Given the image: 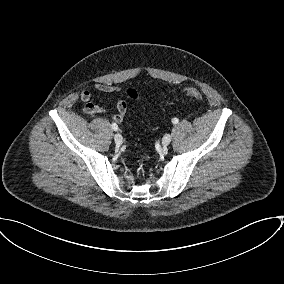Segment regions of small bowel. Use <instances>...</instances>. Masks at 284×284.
Wrapping results in <instances>:
<instances>
[{
	"mask_svg": "<svg viewBox=\"0 0 284 284\" xmlns=\"http://www.w3.org/2000/svg\"><path fill=\"white\" fill-rule=\"evenodd\" d=\"M95 89L100 92L104 93H119L121 92V89L116 86H112L109 84H102L98 83L95 84ZM81 100L85 103L83 107V111L85 114L88 115H95L100 113H105L106 111L99 105L91 102L92 99V93L89 90H84L80 94ZM117 111L112 114V119L116 123H121L125 117L126 111H127V104L123 99H120L117 101L116 104Z\"/></svg>",
	"mask_w": 284,
	"mask_h": 284,
	"instance_id": "obj_1",
	"label": "small bowel"
}]
</instances>
